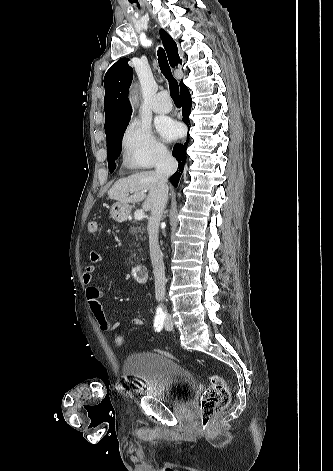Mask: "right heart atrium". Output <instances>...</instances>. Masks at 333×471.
Segmentation results:
<instances>
[{
  "label": "right heart atrium",
  "mask_w": 333,
  "mask_h": 471,
  "mask_svg": "<svg viewBox=\"0 0 333 471\" xmlns=\"http://www.w3.org/2000/svg\"><path fill=\"white\" fill-rule=\"evenodd\" d=\"M123 162L134 169L152 168L169 157L165 145L157 139L150 126L131 120L121 138Z\"/></svg>",
  "instance_id": "obj_1"
}]
</instances>
